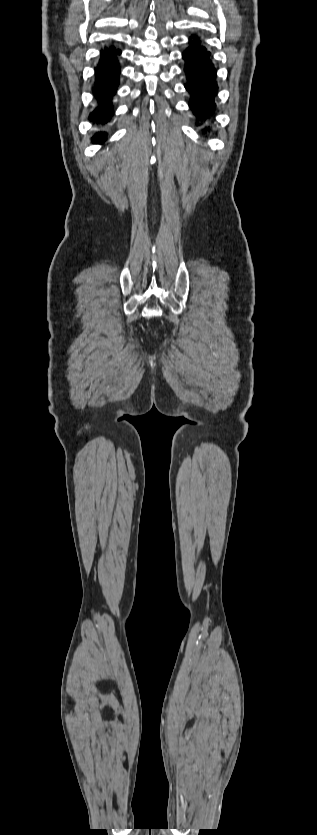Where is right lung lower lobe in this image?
I'll use <instances>...</instances> for the list:
<instances>
[{
	"label": "right lung lower lobe",
	"mask_w": 317,
	"mask_h": 835,
	"mask_svg": "<svg viewBox=\"0 0 317 835\" xmlns=\"http://www.w3.org/2000/svg\"><path fill=\"white\" fill-rule=\"evenodd\" d=\"M121 51L115 47H105L101 50L99 64L95 68L96 82L93 89L96 107L89 115V120L98 125L108 123L113 116L112 98L119 86L120 66L117 55ZM106 132H98L92 137L93 142L101 143L107 140Z\"/></svg>",
	"instance_id": "obj_1"
}]
</instances>
